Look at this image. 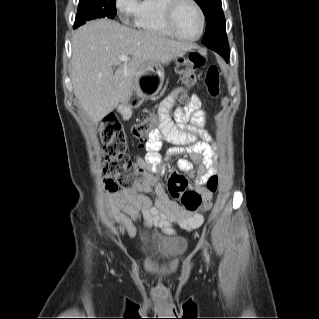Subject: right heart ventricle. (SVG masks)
Listing matches in <instances>:
<instances>
[{
    "mask_svg": "<svg viewBox=\"0 0 319 319\" xmlns=\"http://www.w3.org/2000/svg\"><path fill=\"white\" fill-rule=\"evenodd\" d=\"M164 0H142L139 2L134 22L136 26L149 33L160 36H171L163 17Z\"/></svg>",
    "mask_w": 319,
    "mask_h": 319,
    "instance_id": "obj_1",
    "label": "right heart ventricle"
}]
</instances>
